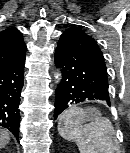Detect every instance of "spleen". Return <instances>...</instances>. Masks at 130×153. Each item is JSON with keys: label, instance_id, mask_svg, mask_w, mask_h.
Wrapping results in <instances>:
<instances>
[{"label": "spleen", "instance_id": "spleen-1", "mask_svg": "<svg viewBox=\"0 0 130 153\" xmlns=\"http://www.w3.org/2000/svg\"><path fill=\"white\" fill-rule=\"evenodd\" d=\"M58 132L64 139L75 141L80 153H119L111 121L97 116L87 121L81 107H71L60 116Z\"/></svg>", "mask_w": 130, "mask_h": 153}]
</instances>
